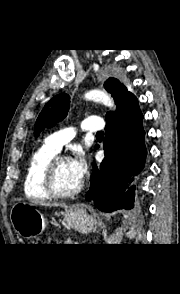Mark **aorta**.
Masks as SVG:
<instances>
[{"label": "aorta", "mask_w": 180, "mask_h": 294, "mask_svg": "<svg viewBox=\"0 0 180 294\" xmlns=\"http://www.w3.org/2000/svg\"><path fill=\"white\" fill-rule=\"evenodd\" d=\"M84 98L87 100H93L95 102L102 103L103 105L111 109L115 108V104L111 96L108 93L101 90L94 89L88 91L84 94Z\"/></svg>", "instance_id": "762f6f07"}]
</instances>
